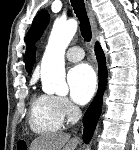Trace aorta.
<instances>
[{
  "mask_svg": "<svg viewBox=\"0 0 139 150\" xmlns=\"http://www.w3.org/2000/svg\"><path fill=\"white\" fill-rule=\"evenodd\" d=\"M77 27L75 19L56 20L53 25L41 63V81L46 93L61 96L68 93L65 81V51Z\"/></svg>",
  "mask_w": 139,
  "mask_h": 150,
  "instance_id": "aorta-1",
  "label": "aorta"
}]
</instances>
